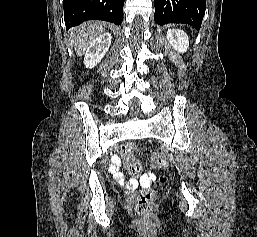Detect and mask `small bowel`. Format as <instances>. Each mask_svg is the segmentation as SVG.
Returning a JSON list of instances; mask_svg holds the SVG:
<instances>
[{
	"label": "small bowel",
	"instance_id": "obj_1",
	"mask_svg": "<svg viewBox=\"0 0 257 237\" xmlns=\"http://www.w3.org/2000/svg\"><path fill=\"white\" fill-rule=\"evenodd\" d=\"M120 164H121V161L119 160V158H114V160L110 166V172L115 176V178L119 182H124V181H126V178H125V175L119 171ZM152 178H153L152 174L143 175L139 178L138 181L142 185H147Z\"/></svg>",
	"mask_w": 257,
	"mask_h": 237
}]
</instances>
